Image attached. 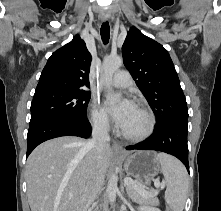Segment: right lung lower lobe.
Returning a JSON list of instances; mask_svg holds the SVG:
<instances>
[{
	"mask_svg": "<svg viewBox=\"0 0 221 211\" xmlns=\"http://www.w3.org/2000/svg\"><path fill=\"white\" fill-rule=\"evenodd\" d=\"M91 125L87 120L71 118V117H46L30 123L27 134V154L26 157L33 151V149L40 143L60 137V136H79L88 138L91 135Z\"/></svg>",
	"mask_w": 221,
	"mask_h": 211,
	"instance_id": "1",
	"label": "right lung lower lobe"
}]
</instances>
